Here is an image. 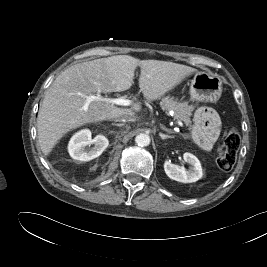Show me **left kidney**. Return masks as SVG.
Masks as SVG:
<instances>
[{
  "label": "left kidney",
  "mask_w": 267,
  "mask_h": 267,
  "mask_svg": "<svg viewBox=\"0 0 267 267\" xmlns=\"http://www.w3.org/2000/svg\"><path fill=\"white\" fill-rule=\"evenodd\" d=\"M183 159L186 163L191 165L189 170H186L183 166L172 164L166 160L164 162V171L166 175L175 181L182 183H192L198 181L203 176L201 163L196 156L191 153H184Z\"/></svg>",
  "instance_id": "left-kidney-1"
}]
</instances>
